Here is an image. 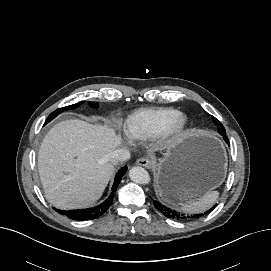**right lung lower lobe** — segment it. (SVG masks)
Wrapping results in <instances>:
<instances>
[{"instance_id": "98d812e1", "label": "right lung lower lobe", "mask_w": 271, "mask_h": 271, "mask_svg": "<svg viewBox=\"0 0 271 271\" xmlns=\"http://www.w3.org/2000/svg\"><path fill=\"white\" fill-rule=\"evenodd\" d=\"M126 170H127V167L125 166L117 173V175L115 177L113 187H112V193L110 194L108 199L105 200L99 206H96V207H93V208H87V209H81V210H79V209L78 210H69V211L57 210L56 209V211L58 213L62 214V215L68 216L69 218H71L73 220H79V221L92 220V219L100 217L112 205L114 192L116 191V189H117L123 175L125 174Z\"/></svg>"}]
</instances>
